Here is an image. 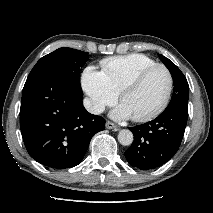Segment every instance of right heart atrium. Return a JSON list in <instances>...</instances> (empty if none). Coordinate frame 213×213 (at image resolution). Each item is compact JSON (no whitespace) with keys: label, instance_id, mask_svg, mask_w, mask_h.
Returning <instances> with one entry per match:
<instances>
[{"label":"right heart atrium","instance_id":"1","mask_svg":"<svg viewBox=\"0 0 213 213\" xmlns=\"http://www.w3.org/2000/svg\"><path fill=\"white\" fill-rule=\"evenodd\" d=\"M81 84L88 97V107L93 113H100L116 102L117 94L110 88L103 73L93 66L85 68Z\"/></svg>","mask_w":213,"mask_h":213}]
</instances>
